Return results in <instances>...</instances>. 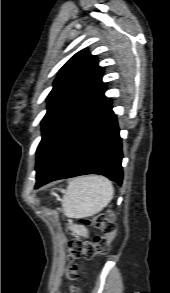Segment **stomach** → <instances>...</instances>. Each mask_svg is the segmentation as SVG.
Here are the masks:
<instances>
[{
	"label": "stomach",
	"mask_w": 170,
	"mask_h": 293,
	"mask_svg": "<svg viewBox=\"0 0 170 293\" xmlns=\"http://www.w3.org/2000/svg\"><path fill=\"white\" fill-rule=\"evenodd\" d=\"M79 233H81V234H85V230H79Z\"/></svg>",
	"instance_id": "0dacf381"
}]
</instances>
